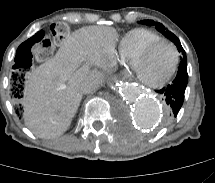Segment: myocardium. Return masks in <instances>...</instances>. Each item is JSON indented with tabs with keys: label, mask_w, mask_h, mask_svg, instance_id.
I'll use <instances>...</instances> for the list:
<instances>
[{
	"label": "myocardium",
	"mask_w": 215,
	"mask_h": 183,
	"mask_svg": "<svg viewBox=\"0 0 215 183\" xmlns=\"http://www.w3.org/2000/svg\"><path fill=\"white\" fill-rule=\"evenodd\" d=\"M160 43H167L173 48L174 54H175L174 65H173L172 70L169 72V74L166 77H164L162 80H160L158 82H149V81H146L142 77V75L140 73V69H139V64L145 59V57L150 53V51ZM179 62H180V53H179V50L177 49L176 45L168 39L161 38V39H158V40L150 43L148 46H146L142 50V52L134 59L130 68H131L136 80L140 84H142L143 86L150 88V89H160V88L164 87L166 84H168L173 79V77L176 75L178 67H179Z\"/></svg>",
	"instance_id": "obj_1"
}]
</instances>
